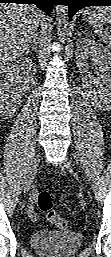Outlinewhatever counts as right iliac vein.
Returning <instances> with one entry per match:
<instances>
[{"instance_id": "63e3f726", "label": "right iliac vein", "mask_w": 111, "mask_h": 257, "mask_svg": "<svg viewBox=\"0 0 111 257\" xmlns=\"http://www.w3.org/2000/svg\"><path fill=\"white\" fill-rule=\"evenodd\" d=\"M39 162H40V155L38 154L34 158L33 165H32V168L30 170V173H29V176H28V179L26 181L25 188H24V194H26L29 191V189L31 187V184L33 183V180H34V178L36 176V173H37V168H38Z\"/></svg>"}]
</instances>
